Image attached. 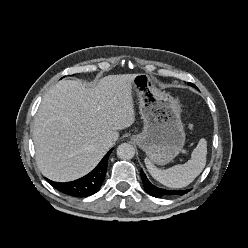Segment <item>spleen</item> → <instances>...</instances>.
<instances>
[{
    "label": "spleen",
    "mask_w": 248,
    "mask_h": 248,
    "mask_svg": "<svg viewBox=\"0 0 248 248\" xmlns=\"http://www.w3.org/2000/svg\"><path fill=\"white\" fill-rule=\"evenodd\" d=\"M207 141L202 138L191 154V159L185 164L175 165L169 169L161 170L154 166L149 159L145 164L150 175L161 184L170 188H183L188 186L203 171L206 165Z\"/></svg>",
    "instance_id": "1"
}]
</instances>
